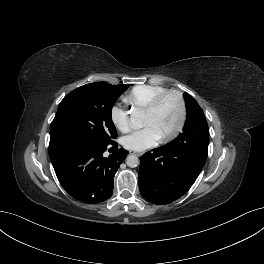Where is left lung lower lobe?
<instances>
[{"mask_svg": "<svg viewBox=\"0 0 264 264\" xmlns=\"http://www.w3.org/2000/svg\"><path fill=\"white\" fill-rule=\"evenodd\" d=\"M209 130L204 127L182 141L168 143L140 158L139 190L154 204L170 203L185 194L207 158Z\"/></svg>", "mask_w": 264, "mask_h": 264, "instance_id": "0a47b994", "label": "left lung lower lobe"}]
</instances>
